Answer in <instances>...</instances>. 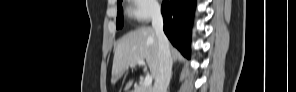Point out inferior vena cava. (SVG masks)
Masks as SVG:
<instances>
[{"instance_id":"obj_1","label":"inferior vena cava","mask_w":296,"mask_h":92,"mask_svg":"<svg viewBox=\"0 0 296 92\" xmlns=\"http://www.w3.org/2000/svg\"><path fill=\"white\" fill-rule=\"evenodd\" d=\"M152 27L159 45V72L155 78L153 92H166L171 78L172 57L169 40L163 31V17L159 7L153 11Z\"/></svg>"}]
</instances>
